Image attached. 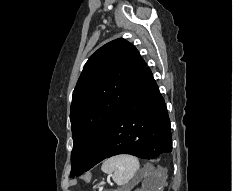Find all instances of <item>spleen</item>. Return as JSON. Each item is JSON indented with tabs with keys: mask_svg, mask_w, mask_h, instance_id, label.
<instances>
[{
	"mask_svg": "<svg viewBox=\"0 0 233 191\" xmlns=\"http://www.w3.org/2000/svg\"><path fill=\"white\" fill-rule=\"evenodd\" d=\"M139 167V160L135 156L123 154L104 161L101 169L110 174L118 186H124L134 177Z\"/></svg>",
	"mask_w": 233,
	"mask_h": 191,
	"instance_id": "spleen-1",
	"label": "spleen"
}]
</instances>
